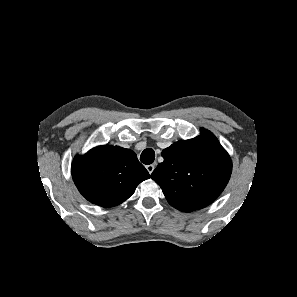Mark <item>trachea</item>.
Returning <instances> with one entry per match:
<instances>
[{
  "label": "trachea",
  "instance_id": "3493384b",
  "mask_svg": "<svg viewBox=\"0 0 297 297\" xmlns=\"http://www.w3.org/2000/svg\"><path fill=\"white\" fill-rule=\"evenodd\" d=\"M140 160L143 164L149 165L152 164L155 160V152L151 148L145 149L141 155Z\"/></svg>",
  "mask_w": 297,
  "mask_h": 297
}]
</instances>
